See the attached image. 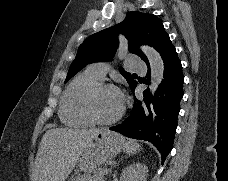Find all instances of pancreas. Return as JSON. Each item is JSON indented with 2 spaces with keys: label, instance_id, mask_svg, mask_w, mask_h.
Here are the masks:
<instances>
[{
  "label": "pancreas",
  "instance_id": "cf45deb5",
  "mask_svg": "<svg viewBox=\"0 0 228 181\" xmlns=\"http://www.w3.org/2000/svg\"><path fill=\"white\" fill-rule=\"evenodd\" d=\"M104 173L102 171H96L94 173V177H92L91 173H84V175H78L74 181H102Z\"/></svg>",
  "mask_w": 228,
  "mask_h": 181
}]
</instances>
